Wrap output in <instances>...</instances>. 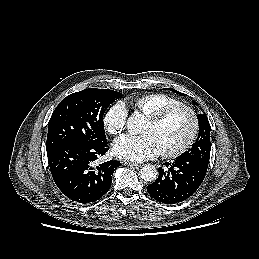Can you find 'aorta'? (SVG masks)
Here are the masks:
<instances>
[{
    "label": "aorta",
    "mask_w": 259,
    "mask_h": 259,
    "mask_svg": "<svg viewBox=\"0 0 259 259\" xmlns=\"http://www.w3.org/2000/svg\"><path fill=\"white\" fill-rule=\"evenodd\" d=\"M144 118L139 112H134L129 116L126 127L131 135H138L142 132ZM140 177L147 182L155 181L158 171L154 165L146 164L140 169Z\"/></svg>",
    "instance_id": "1"
}]
</instances>
